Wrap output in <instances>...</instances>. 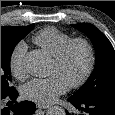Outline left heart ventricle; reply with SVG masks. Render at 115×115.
Masks as SVG:
<instances>
[{
  "instance_id": "b2bd125f",
  "label": "left heart ventricle",
  "mask_w": 115,
  "mask_h": 115,
  "mask_svg": "<svg viewBox=\"0 0 115 115\" xmlns=\"http://www.w3.org/2000/svg\"><path fill=\"white\" fill-rule=\"evenodd\" d=\"M87 52L84 47L76 46L70 53L66 63L58 67L54 62L50 69V75L60 76L67 84L78 80L87 67Z\"/></svg>"
}]
</instances>
